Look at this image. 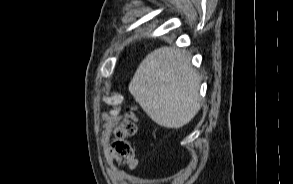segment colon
<instances>
[{
  "label": "colon",
  "instance_id": "colon-1",
  "mask_svg": "<svg viewBox=\"0 0 293 184\" xmlns=\"http://www.w3.org/2000/svg\"><path fill=\"white\" fill-rule=\"evenodd\" d=\"M135 132L136 118L133 109H130L114 130V139L108 147L109 154L126 163H134L136 161L135 154L126 138L134 135Z\"/></svg>",
  "mask_w": 293,
  "mask_h": 184
}]
</instances>
